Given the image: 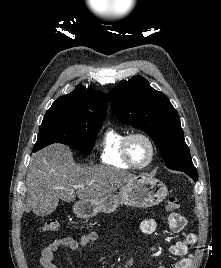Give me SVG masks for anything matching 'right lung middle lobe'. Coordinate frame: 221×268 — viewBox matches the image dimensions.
Listing matches in <instances>:
<instances>
[{"label":"right lung middle lobe","mask_w":221,"mask_h":268,"mask_svg":"<svg viewBox=\"0 0 221 268\" xmlns=\"http://www.w3.org/2000/svg\"><path fill=\"white\" fill-rule=\"evenodd\" d=\"M102 122L88 121L64 113H46L33 151L62 143L79 151H91Z\"/></svg>","instance_id":"right-lung-middle-lobe-1"}]
</instances>
